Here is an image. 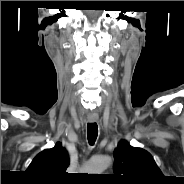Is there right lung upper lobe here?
<instances>
[{
  "instance_id": "1",
  "label": "right lung upper lobe",
  "mask_w": 184,
  "mask_h": 184,
  "mask_svg": "<svg viewBox=\"0 0 184 184\" xmlns=\"http://www.w3.org/2000/svg\"><path fill=\"white\" fill-rule=\"evenodd\" d=\"M69 156L60 142L51 149L39 153L26 170L36 183L62 184L67 180L65 172Z\"/></svg>"
}]
</instances>
